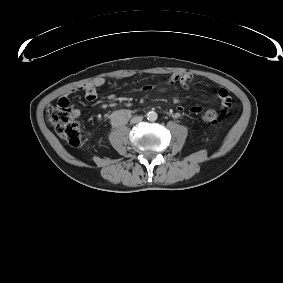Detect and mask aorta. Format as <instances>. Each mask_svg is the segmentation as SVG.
<instances>
[{
	"instance_id": "762f6f07",
	"label": "aorta",
	"mask_w": 283,
	"mask_h": 283,
	"mask_svg": "<svg viewBox=\"0 0 283 283\" xmlns=\"http://www.w3.org/2000/svg\"><path fill=\"white\" fill-rule=\"evenodd\" d=\"M146 117L149 121L154 122L157 120L158 115L155 111H150L147 113Z\"/></svg>"
}]
</instances>
